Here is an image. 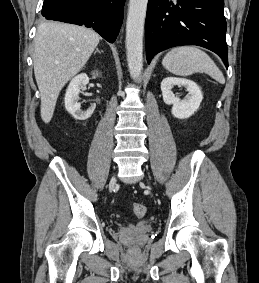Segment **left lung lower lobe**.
<instances>
[{"mask_svg": "<svg viewBox=\"0 0 259 283\" xmlns=\"http://www.w3.org/2000/svg\"><path fill=\"white\" fill-rule=\"evenodd\" d=\"M224 0H149L146 56L180 45H198L221 57L228 68Z\"/></svg>", "mask_w": 259, "mask_h": 283, "instance_id": "obj_1", "label": "left lung lower lobe"}]
</instances>
